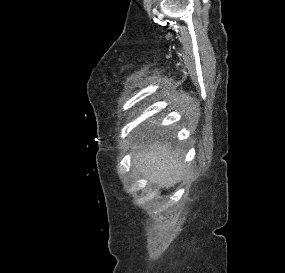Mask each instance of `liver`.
<instances>
[{"instance_id": "1", "label": "liver", "mask_w": 285, "mask_h": 273, "mask_svg": "<svg viewBox=\"0 0 285 273\" xmlns=\"http://www.w3.org/2000/svg\"><path fill=\"white\" fill-rule=\"evenodd\" d=\"M134 164L150 182L167 189L180 181L184 171L179 153L160 144L137 151Z\"/></svg>"}]
</instances>
